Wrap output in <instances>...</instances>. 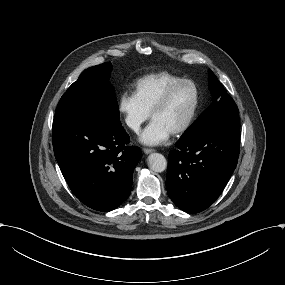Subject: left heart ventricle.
Returning a JSON list of instances; mask_svg holds the SVG:
<instances>
[{
	"mask_svg": "<svg viewBox=\"0 0 285 285\" xmlns=\"http://www.w3.org/2000/svg\"><path fill=\"white\" fill-rule=\"evenodd\" d=\"M195 98L194 87L183 83L175 89L168 104L153 115V119L161 121L173 131L188 118Z\"/></svg>",
	"mask_w": 285,
	"mask_h": 285,
	"instance_id": "1",
	"label": "left heart ventricle"
}]
</instances>
